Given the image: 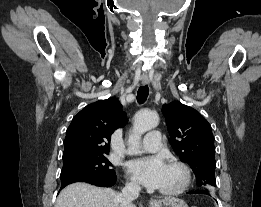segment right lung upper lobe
Segmentation results:
<instances>
[{"mask_svg": "<svg viewBox=\"0 0 261 207\" xmlns=\"http://www.w3.org/2000/svg\"><path fill=\"white\" fill-rule=\"evenodd\" d=\"M126 122V114L116 98L87 105L73 117L66 131L63 161L109 154L112 133Z\"/></svg>", "mask_w": 261, "mask_h": 207, "instance_id": "cb5924a9", "label": "right lung upper lobe"}]
</instances>
